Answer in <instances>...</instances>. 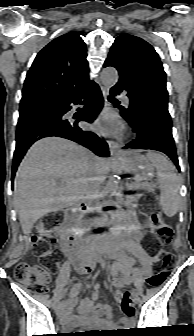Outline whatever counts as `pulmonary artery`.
I'll list each match as a JSON object with an SVG mask.
<instances>
[{
    "instance_id": "1",
    "label": "pulmonary artery",
    "mask_w": 194,
    "mask_h": 336,
    "mask_svg": "<svg viewBox=\"0 0 194 336\" xmlns=\"http://www.w3.org/2000/svg\"><path fill=\"white\" fill-rule=\"evenodd\" d=\"M122 101L125 105H129V103H130L129 98L125 95H122Z\"/></svg>"
}]
</instances>
